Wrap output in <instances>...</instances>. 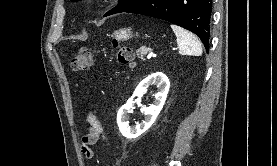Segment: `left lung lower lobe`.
<instances>
[{"label":"left lung lower lobe","mask_w":277,"mask_h":166,"mask_svg":"<svg viewBox=\"0 0 277 166\" xmlns=\"http://www.w3.org/2000/svg\"><path fill=\"white\" fill-rule=\"evenodd\" d=\"M162 19L195 33L209 49L211 0H142L124 11Z\"/></svg>","instance_id":"0a47b994"}]
</instances>
